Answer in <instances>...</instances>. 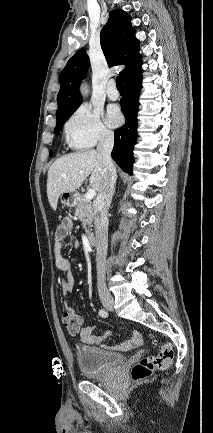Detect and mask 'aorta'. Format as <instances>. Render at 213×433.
Returning <instances> with one entry per match:
<instances>
[{
    "label": "aorta",
    "instance_id": "aorta-1",
    "mask_svg": "<svg viewBox=\"0 0 213 433\" xmlns=\"http://www.w3.org/2000/svg\"><path fill=\"white\" fill-rule=\"evenodd\" d=\"M87 92H88V90H87L86 86H83L82 87V93H83V95H86Z\"/></svg>",
    "mask_w": 213,
    "mask_h": 433
}]
</instances>
